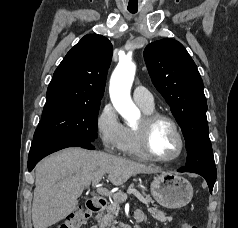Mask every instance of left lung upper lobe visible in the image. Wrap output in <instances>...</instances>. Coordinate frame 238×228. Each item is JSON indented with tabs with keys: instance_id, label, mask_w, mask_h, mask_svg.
Listing matches in <instances>:
<instances>
[{
	"instance_id": "1",
	"label": "left lung upper lobe",
	"mask_w": 238,
	"mask_h": 228,
	"mask_svg": "<svg viewBox=\"0 0 238 228\" xmlns=\"http://www.w3.org/2000/svg\"><path fill=\"white\" fill-rule=\"evenodd\" d=\"M144 59L154 86L182 129L188 153L184 169L216 175L206 117L207 101L193 59L180 42L171 38L147 45Z\"/></svg>"
}]
</instances>
